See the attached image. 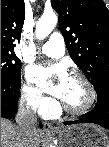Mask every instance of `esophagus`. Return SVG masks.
I'll return each instance as SVG.
<instances>
[{"label":"esophagus","instance_id":"esophagus-1","mask_svg":"<svg viewBox=\"0 0 109 147\" xmlns=\"http://www.w3.org/2000/svg\"><path fill=\"white\" fill-rule=\"evenodd\" d=\"M44 129H53V125L50 122H44Z\"/></svg>","mask_w":109,"mask_h":147}]
</instances>
